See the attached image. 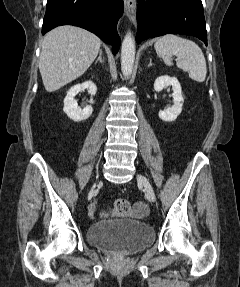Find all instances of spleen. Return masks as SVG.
I'll use <instances>...</instances> for the list:
<instances>
[{
    "mask_svg": "<svg viewBox=\"0 0 240 287\" xmlns=\"http://www.w3.org/2000/svg\"><path fill=\"white\" fill-rule=\"evenodd\" d=\"M154 48L165 64L172 66L170 57H177V66L189 77L197 82H203L206 78L207 67L204 54L200 47L192 40L182 38L175 34H167L160 37Z\"/></svg>",
    "mask_w": 240,
    "mask_h": 287,
    "instance_id": "obj_1",
    "label": "spleen"
}]
</instances>
